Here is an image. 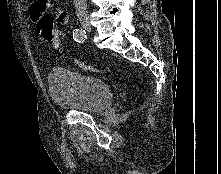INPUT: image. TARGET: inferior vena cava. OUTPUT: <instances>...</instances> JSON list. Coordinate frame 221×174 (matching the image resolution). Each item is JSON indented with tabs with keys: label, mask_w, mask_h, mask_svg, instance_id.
<instances>
[{
	"label": "inferior vena cava",
	"mask_w": 221,
	"mask_h": 174,
	"mask_svg": "<svg viewBox=\"0 0 221 174\" xmlns=\"http://www.w3.org/2000/svg\"><path fill=\"white\" fill-rule=\"evenodd\" d=\"M76 8V14L78 17H84L87 15V4L86 0H74Z\"/></svg>",
	"instance_id": "obj_1"
}]
</instances>
